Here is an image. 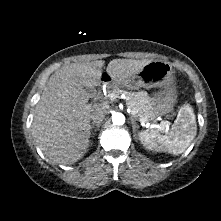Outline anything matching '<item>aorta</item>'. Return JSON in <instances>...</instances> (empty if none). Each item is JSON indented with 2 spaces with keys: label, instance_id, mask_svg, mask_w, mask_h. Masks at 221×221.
<instances>
[{
  "label": "aorta",
  "instance_id": "aorta-1",
  "mask_svg": "<svg viewBox=\"0 0 221 221\" xmlns=\"http://www.w3.org/2000/svg\"><path fill=\"white\" fill-rule=\"evenodd\" d=\"M112 122L114 125H123L125 123V116L122 113L114 112L112 114Z\"/></svg>",
  "mask_w": 221,
  "mask_h": 221
}]
</instances>
